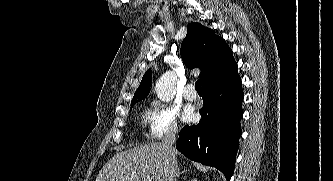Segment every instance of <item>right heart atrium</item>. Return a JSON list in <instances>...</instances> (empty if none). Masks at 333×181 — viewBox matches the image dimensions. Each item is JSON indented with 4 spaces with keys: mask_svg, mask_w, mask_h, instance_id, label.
<instances>
[{
    "mask_svg": "<svg viewBox=\"0 0 333 181\" xmlns=\"http://www.w3.org/2000/svg\"><path fill=\"white\" fill-rule=\"evenodd\" d=\"M177 115L178 110L174 106L154 101L146 117L151 138L160 139L165 135L176 133Z\"/></svg>",
    "mask_w": 333,
    "mask_h": 181,
    "instance_id": "obj_1",
    "label": "right heart atrium"
}]
</instances>
